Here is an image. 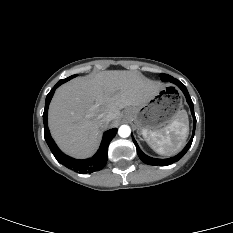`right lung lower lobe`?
Returning a JSON list of instances; mask_svg holds the SVG:
<instances>
[{
	"label": "right lung lower lobe",
	"instance_id": "right-lung-lower-lobe-1",
	"mask_svg": "<svg viewBox=\"0 0 233 233\" xmlns=\"http://www.w3.org/2000/svg\"><path fill=\"white\" fill-rule=\"evenodd\" d=\"M66 79L60 80L49 92V94L46 97L45 102V109L43 113V122H44V137L45 140L53 153L54 157L57 159V161L64 166H66L69 169H72L79 173H92L95 171L101 170L107 162V149L110 141L115 137L117 133V129L113 128L108 131H106L103 135V139L100 145L99 150L97 153L89 159L85 160H76L74 158H71L67 155H65L55 144L54 140L52 139L49 129H48V122H47V113H48V107L49 103L51 101V98L53 97V94L61 84L65 83Z\"/></svg>",
	"mask_w": 233,
	"mask_h": 233
}]
</instances>
